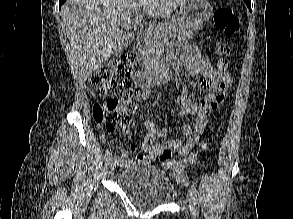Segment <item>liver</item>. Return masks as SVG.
<instances>
[{"mask_svg": "<svg viewBox=\"0 0 293 219\" xmlns=\"http://www.w3.org/2000/svg\"><path fill=\"white\" fill-rule=\"evenodd\" d=\"M185 0H67L61 8L70 54L82 80L113 55L138 16H169Z\"/></svg>", "mask_w": 293, "mask_h": 219, "instance_id": "6515ba94", "label": "liver"}]
</instances>
